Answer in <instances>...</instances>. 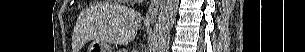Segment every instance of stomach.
Returning a JSON list of instances; mask_svg holds the SVG:
<instances>
[{
    "mask_svg": "<svg viewBox=\"0 0 305 52\" xmlns=\"http://www.w3.org/2000/svg\"><path fill=\"white\" fill-rule=\"evenodd\" d=\"M88 52H111L106 42L93 40L88 46Z\"/></svg>",
    "mask_w": 305,
    "mask_h": 52,
    "instance_id": "stomach-1",
    "label": "stomach"
}]
</instances>
